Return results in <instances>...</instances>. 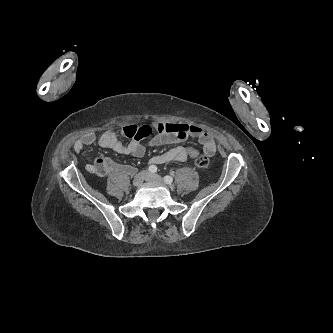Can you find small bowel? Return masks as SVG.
<instances>
[{"label":"small bowel","mask_w":333,"mask_h":333,"mask_svg":"<svg viewBox=\"0 0 333 333\" xmlns=\"http://www.w3.org/2000/svg\"><path fill=\"white\" fill-rule=\"evenodd\" d=\"M120 134L127 136L131 141L127 144L122 143L115 131L107 130L100 135L98 143L103 148L135 157L144 156L146 149L140 140L147 137H151L150 141L152 145L177 143L193 137L197 138L202 146V153H199L196 149L187 150L182 146L173 147L162 154L152 157V165L184 161L188 156L195 158L198 154H203L209 158L216 152V144L213 137L197 125L158 121L154 122L151 126H126L120 131ZM95 140V134L89 132L74 142L73 150L79 153L85 146L93 144ZM113 167L114 164L112 162L100 155L89 166L88 170L96 175H101L103 172L113 169ZM126 171L130 172V168L126 167Z\"/></svg>","instance_id":"small-bowel-1"}]
</instances>
